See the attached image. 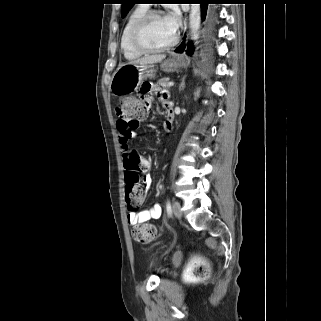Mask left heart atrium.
<instances>
[{
    "label": "left heart atrium",
    "instance_id": "left-heart-atrium-1",
    "mask_svg": "<svg viewBox=\"0 0 321 321\" xmlns=\"http://www.w3.org/2000/svg\"><path fill=\"white\" fill-rule=\"evenodd\" d=\"M165 20L174 31L178 29L180 17L177 11H172L169 13L167 16H165Z\"/></svg>",
    "mask_w": 321,
    "mask_h": 321
}]
</instances>
